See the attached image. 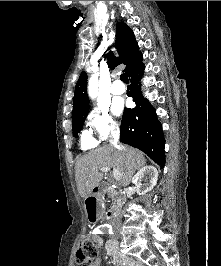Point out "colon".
<instances>
[{
  "mask_svg": "<svg viewBox=\"0 0 221 266\" xmlns=\"http://www.w3.org/2000/svg\"><path fill=\"white\" fill-rule=\"evenodd\" d=\"M76 257L79 262L85 263L83 266H88L86 263H91L97 258V250L90 237L84 236L80 240Z\"/></svg>",
  "mask_w": 221,
  "mask_h": 266,
  "instance_id": "5ec220e1",
  "label": "colon"
}]
</instances>
